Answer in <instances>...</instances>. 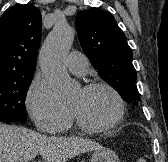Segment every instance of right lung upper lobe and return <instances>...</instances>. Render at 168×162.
<instances>
[{"label":"right lung upper lobe","mask_w":168,"mask_h":162,"mask_svg":"<svg viewBox=\"0 0 168 162\" xmlns=\"http://www.w3.org/2000/svg\"><path fill=\"white\" fill-rule=\"evenodd\" d=\"M41 22L31 4L11 7L0 17V80L35 71Z\"/></svg>","instance_id":"1"}]
</instances>
